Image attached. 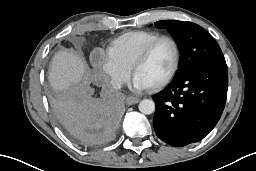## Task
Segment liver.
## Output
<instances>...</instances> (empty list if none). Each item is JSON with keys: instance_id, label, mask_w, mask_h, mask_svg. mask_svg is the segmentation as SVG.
Listing matches in <instances>:
<instances>
[{"instance_id": "liver-1", "label": "liver", "mask_w": 256, "mask_h": 171, "mask_svg": "<svg viewBox=\"0 0 256 171\" xmlns=\"http://www.w3.org/2000/svg\"><path fill=\"white\" fill-rule=\"evenodd\" d=\"M85 73L86 64L80 56L61 50L52 58L48 80L55 91L62 92L73 84L85 83Z\"/></svg>"}]
</instances>
